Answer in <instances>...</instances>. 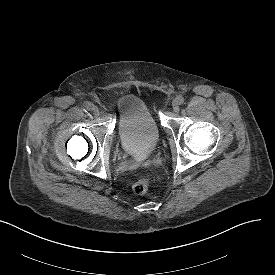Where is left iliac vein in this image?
I'll list each match as a JSON object with an SVG mask.
<instances>
[{"mask_svg":"<svg viewBox=\"0 0 275 275\" xmlns=\"http://www.w3.org/2000/svg\"><path fill=\"white\" fill-rule=\"evenodd\" d=\"M172 107H173L174 112H178L179 111V109H180L179 108V103H178V101L176 99L173 101Z\"/></svg>","mask_w":275,"mask_h":275,"instance_id":"4c4485c4","label":"left iliac vein"}]
</instances>
